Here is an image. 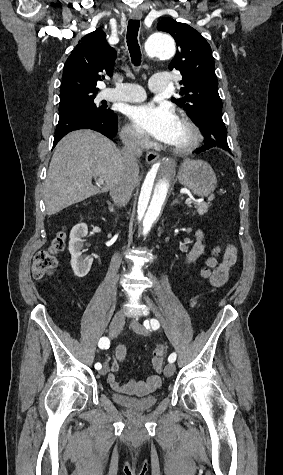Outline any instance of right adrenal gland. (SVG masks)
Wrapping results in <instances>:
<instances>
[{"mask_svg": "<svg viewBox=\"0 0 283 475\" xmlns=\"http://www.w3.org/2000/svg\"><path fill=\"white\" fill-rule=\"evenodd\" d=\"M109 210H114V206H112L111 202H107Z\"/></svg>", "mask_w": 283, "mask_h": 475, "instance_id": "obj_1", "label": "right adrenal gland"}]
</instances>
